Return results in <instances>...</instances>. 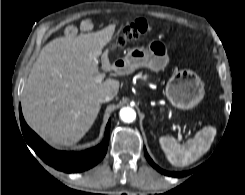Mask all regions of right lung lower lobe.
Masks as SVG:
<instances>
[{"label":"right lung lower lobe","instance_id":"right-lung-lower-lobe-1","mask_svg":"<svg viewBox=\"0 0 245 195\" xmlns=\"http://www.w3.org/2000/svg\"><path fill=\"white\" fill-rule=\"evenodd\" d=\"M19 115L21 129L28 145L46 164L59 171L66 173L85 171L99 163L106 154L109 142L110 120L106 126L101 144L82 152H66L51 148L33 132L22 116L21 107H19Z\"/></svg>","mask_w":245,"mask_h":195}]
</instances>
